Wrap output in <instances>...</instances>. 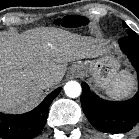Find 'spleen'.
I'll use <instances>...</instances> for the list:
<instances>
[{
  "label": "spleen",
  "instance_id": "3e777b00",
  "mask_svg": "<svg viewBox=\"0 0 139 139\" xmlns=\"http://www.w3.org/2000/svg\"><path fill=\"white\" fill-rule=\"evenodd\" d=\"M132 86L130 75L122 71L114 77L106 94L114 99L126 98L130 95Z\"/></svg>",
  "mask_w": 139,
  "mask_h": 139
}]
</instances>
